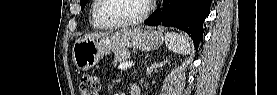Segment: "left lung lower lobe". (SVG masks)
Returning a JSON list of instances; mask_svg holds the SVG:
<instances>
[{"label": "left lung lower lobe", "mask_w": 277, "mask_h": 95, "mask_svg": "<svg viewBox=\"0 0 277 95\" xmlns=\"http://www.w3.org/2000/svg\"><path fill=\"white\" fill-rule=\"evenodd\" d=\"M212 0H163L144 23L146 25L172 26L187 32L198 45L203 37V22L210 13Z\"/></svg>", "instance_id": "0a47b994"}]
</instances>
